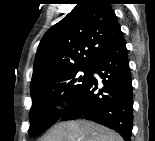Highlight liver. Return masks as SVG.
I'll use <instances>...</instances> for the list:
<instances>
[{
    "label": "liver",
    "instance_id": "liver-1",
    "mask_svg": "<svg viewBox=\"0 0 155 141\" xmlns=\"http://www.w3.org/2000/svg\"><path fill=\"white\" fill-rule=\"evenodd\" d=\"M42 141H123L116 132L92 121L61 122L52 127Z\"/></svg>",
    "mask_w": 155,
    "mask_h": 141
}]
</instances>
